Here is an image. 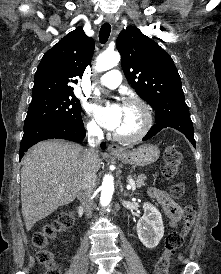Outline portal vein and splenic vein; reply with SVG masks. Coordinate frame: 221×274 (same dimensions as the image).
Instances as JSON below:
<instances>
[{"instance_id": "1", "label": "portal vein and splenic vein", "mask_w": 221, "mask_h": 274, "mask_svg": "<svg viewBox=\"0 0 221 274\" xmlns=\"http://www.w3.org/2000/svg\"><path fill=\"white\" fill-rule=\"evenodd\" d=\"M129 187L134 191L136 189L135 183L132 179L129 181Z\"/></svg>"}]
</instances>
